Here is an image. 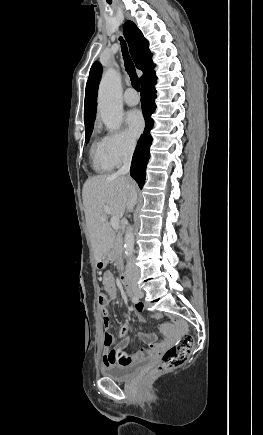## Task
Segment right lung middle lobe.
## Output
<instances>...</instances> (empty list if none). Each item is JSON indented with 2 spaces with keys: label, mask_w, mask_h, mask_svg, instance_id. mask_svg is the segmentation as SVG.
Instances as JSON below:
<instances>
[{
  "label": "right lung middle lobe",
  "mask_w": 263,
  "mask_h": 435,
  "mask_svg": "<svg viewBox=\"0 0 263 435\" xmlns=\"http://www.w3.org/2000/svg\"><path fill=\"white\" fill-rule=\"evenodd\" d=\"M93 129V128H92ZM92 129L86 130L85 131V139H86V143L89 141L90 139V135L92 133Z\"/></svg>",
  "instance_id": "dd1d6c3e"
}]
</instances>
